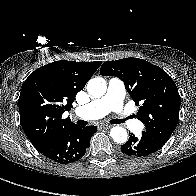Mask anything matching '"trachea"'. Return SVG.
<instances>
[{
  "mask_svg": "<svg viewBox=\"0 0 196 196\" xmlns=\"http://www.w3.org/2000/svg\"><path fill=\"white\" fill-rule=\"evenodd\" d=\"M122 122H123V121H122L121 119H113V120L110 121V123H112V124H120V123H122ZM77 123H78L79 125H82V126L87 125V122H86V121H83V120H79Z\"/></svg>",
  "mask_w": 196,
  "mask_h": 196,
  "instance_id": "obj_1",
  "label": "trachea"
}]
</instances>
